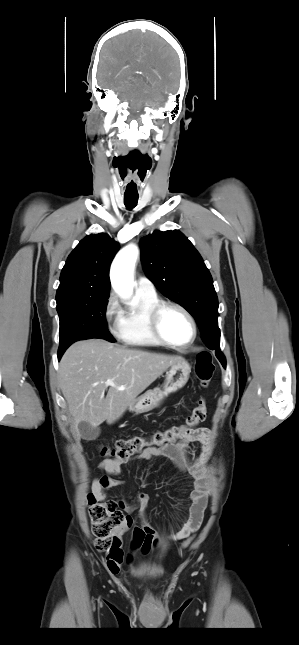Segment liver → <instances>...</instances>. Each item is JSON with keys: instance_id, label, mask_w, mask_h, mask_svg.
Segmentation results:
<instances>
[{"instance_id": "obj_1", "label": "liver", "mask_w": 299, "mask_h": 645, "mask_svg": "<svg viewBox=\"0 0 299 645\" xmlns=\"http://www.w3.org/2000/svg\"><path fill=\"white\" fill-rule=\"evenodd\" d=\"M181 360L180 356L131 349L102 339L72 344L60 361L58 382L77 436L80 422L92 427L116 422L139 394ZM107 380H113L115 386H110L105 396Z\"/></svg>"}]
</instances>
